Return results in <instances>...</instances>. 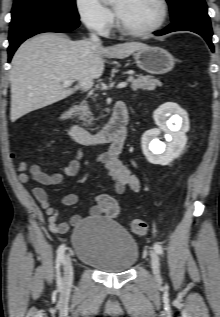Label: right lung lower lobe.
<instances>
[{
	"mask_svg": "<svg viewBox=\"0 0 220 317\" xmlns=\"http://www.w3.org/2000/svg\"><path fill=\"white\" fill-rule=\"evenodd\" d=\"M79 20L54 14L32 15L10 24L8 61L27 38L42 32H69L79 26Z\"/></svg>",
	"mask_w": 220,
	"mask_h": 317,
	"instance_id": "1",
	"label": "right lung lower lobe"
}]
</instances>
